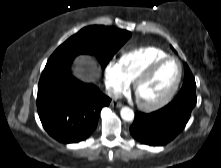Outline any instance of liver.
<instances>
[{"mask_svg":"<svg viewBox=\"0 0 221 168\" xmlns=\"http://www.w3.org/2000/svg\"><path fill=\"white\" fill-rule=\"evenodd\" d=\"M77 68L76 74L86 82L93 81L98 75V68L96 67L95 61L88 57H79L76 59Z\"/></svg>","mask_w":221,"mask_h":168,"instance_id":"obj_1","label":"liver"}]
</instances>
